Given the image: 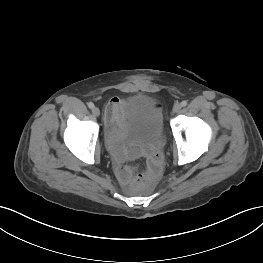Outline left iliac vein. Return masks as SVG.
I'll return each mask as SVG.
<instances>
[{"instance_id": "4c4485c4", "label": "left iliac vein", "mask_w": 263, "mask_h": 263, "mask_svg": "<svg viewBox=\"0 0 263 263\" xmlns=\"http://www.w3.org/2000/svg\"><path fill=\"white\" fill-rule=\"evenodd\" d=\"M181 104H175L173 107L174 113H179L181 111Z\"/></svg>"}]
</instances>
